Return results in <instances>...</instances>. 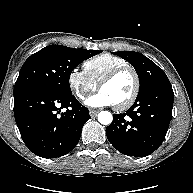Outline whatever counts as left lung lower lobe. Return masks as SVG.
<instances>
[{
  "instance_id": "1",
  "label": "left lung lower lobe",
  "mask_w": 193,
  "mask_h": 193,
  "mask_svg": "<svg viewBox=\"0 0 193 193\" xmlns=\"http://www.w3.org/2000/svg\"><path fill=\"white\" fill-rule=\"evenodd\" d=\"M174 93L168 78H163L122 114H114L106 128L110 143L119 152L143 157L154 152L163 142L172 118Z\"/></svg>"
}]
</instances>
